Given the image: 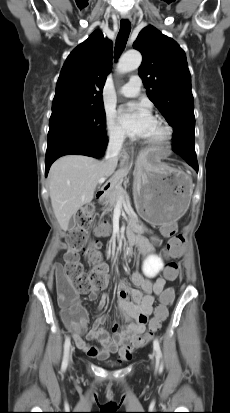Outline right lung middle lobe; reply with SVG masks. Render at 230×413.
Returning a JSON list of instances; mask_svg holds the SVG:
<instances>
[{"instance_id":"obj_1","label":"right lung middle lobe","mask_w":230,"mask_h":413,"mask_svg":"<svg viewBox=\"0 0 230 413\" xmlns=\"http://www.w3.org/2000/svg\"><path fill=\"white\" fill-rule=\"evenodd\" d=\"M105 121L104 107L52 111L47 150L64 143L104 141Z\"/></svg>"}]
</instances>
